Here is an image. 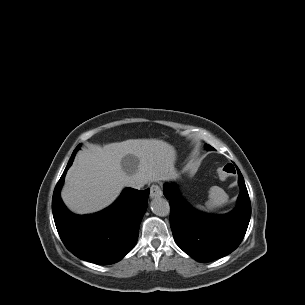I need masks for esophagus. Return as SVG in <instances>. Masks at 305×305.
I'll use <instances>...</instances> for the list:
<instances>
[{
    "instance_id": "1",
    "label": "esophagus",
    "mask_w": 305,
    "mask_h": 305,
    "mask_svg": "<svg viewBox=\"0 0 305 305\" xmlns=\"http://www.w3.org/2000/svg\"><path fill=\"white\" fill-rule=\"evenodd\" d=\"M162 195L161 188L158 185H152L150 187V198H156Z\"/></svg>"
}]
</instances>
